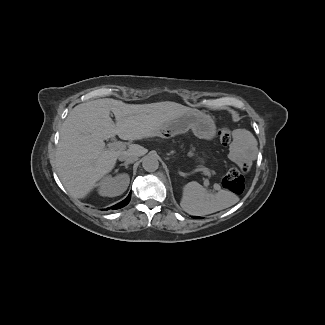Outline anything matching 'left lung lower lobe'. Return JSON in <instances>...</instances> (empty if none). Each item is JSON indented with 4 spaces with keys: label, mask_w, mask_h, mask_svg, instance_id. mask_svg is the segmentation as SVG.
Listing matches in <instances>:
<instances>
[{
    "label": "left lung lower lobe",
    "mask_w": 325,
    "mask_h": 325,
    "mask_svg": "<svg viewBox=\"0 0 325 325\" xmlns=\"http://www.w3.org/2000/svg\"><path fill=\"white\" fill-rule=\"evenodd\" d=\"M194 218L198 219V218H201V217L194 216Z\"/></svg>",
    "instance_id": "1"
}]
</instances>
